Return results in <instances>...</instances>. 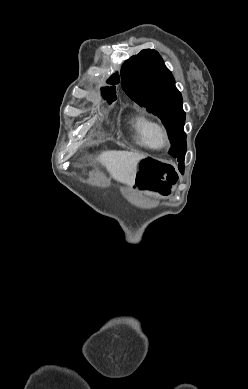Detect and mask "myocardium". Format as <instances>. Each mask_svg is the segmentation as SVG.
Segmentation results:
<instances>
[{
	"label": "myocardium",
	"mask_w": 248,
	"mask_h": 389,
	"mask_svg": "<svg viewBox=\"0 0 248 389\" xmlns=\"http://www.w3.org/2000/svg\"><path fill=\"white\" fill-rule=\"evenodd\" d=\"M169 144L167 131L162 126H157L153 134V145L155 148H165Z\"/></svg>",
	"instance_id": "myocardium-1"
}]
</instances>
